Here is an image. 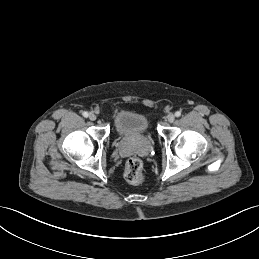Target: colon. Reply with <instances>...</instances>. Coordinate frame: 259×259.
I'll use <instances>...</instances> for the list:
<instances>
[{
    "instance_id": "obj_1",
    "label": "colon",
    "mask_w": 259,
    "mask_h": 259,
    "mask_svg": "<svg viewBox=\"0 0 259 259\" xmlns=\"http://www.w3.org/2000/svg\"><path fill=\"white\" fill-rule=\"evenodd\" d=\"M124 178L131 184H139L144 179L143 163L138 157L127 160L124 169Z\"/></svg>"
}]
</instances>
